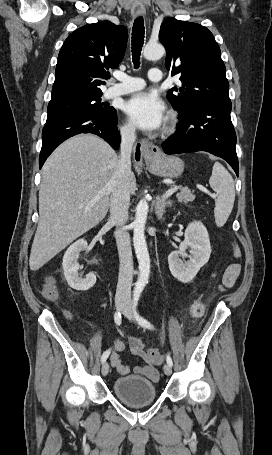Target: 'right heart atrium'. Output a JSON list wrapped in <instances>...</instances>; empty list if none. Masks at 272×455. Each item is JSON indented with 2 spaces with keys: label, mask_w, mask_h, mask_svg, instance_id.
Instances as JSON below:
<instances>
[{
  "label": "right heart atrium",
  "mask_w": 272,
  "mask_h": 455,
  "mask_svg": "<svg viewBox=\"0 0 272 455\" xmlns=\"http://www.w3.org/2000/svg\"><path fill=\"white\" fill-rule=\"evenodd\" d=\"M121 134L127 140H132L135 137V129L129 122H125L121 127Z\"/></svg>",
  "instance_id": "1"
}]
</instances>
